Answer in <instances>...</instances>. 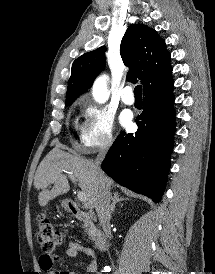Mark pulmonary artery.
Segmentation results:
<instances>
[{"mask_svg":"<svg viewBox=\"0 0 215 274\" xmlns=\"http://www.w3.org/2000/svg\"><path fill=\"white\" fill-rule=\"evenodd\" d=\"M121 100L123 101V103H125L126 105H133L135 102L134 96H133V92H132V88L130 86H126L122 89L121 91Z\"/></svg>","mask_w":215,"mask_h":274,"instance_id":"e3ab8cb5","label":"pulmonary artery"}]
</instances>
